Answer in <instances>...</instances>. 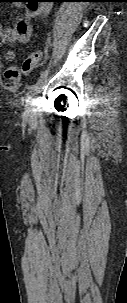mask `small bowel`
Returning a JSON list of instances; mask_svg holds the SVG:
<instances>
[{
	"label": "small bowel",
	"instance_id": "obj_1",
	"mask_svg": "<svg viewBox=\"0 0 127 303\" xmlns=\"http://www.w3.org/2000/svg\"><path fill=\"white\" fill-rule=\"evenodd\" d=\"M50 0H27L23 18L18 20L13 27L3 29L0 26V44H24L26 43L32 31L31 19L38 15H47L50 12L51 5L45 2ZM8 60L14 59V53L8 51L6 54Z\"/></svg>",
	"mask_w": 127,
	"mask_h": 303
}]
</instances>
